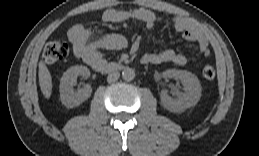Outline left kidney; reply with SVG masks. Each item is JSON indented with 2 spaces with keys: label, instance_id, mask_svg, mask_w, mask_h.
<instances>
[{
  "label": "left kidney",
  "instance_id": "5707ae66",
  "mask_svg": "<svg viewBox=\"0 0 259 156\" xmlns=\"http://www.w3.org/2000/svg\"><path fill=\"white\" fill-rule=\"evenodd\" d=\"M162 77L178 79L184 86V93L178 98H172L166 90H162L161 104L165 109L177 113L197 104L201 97V85L197 76L186 70L169 69L162 73Z\"/></svg>",
  "mask_w": 259,
  "mask_h": 156
}]
</instances>
